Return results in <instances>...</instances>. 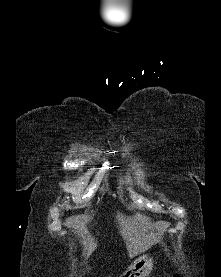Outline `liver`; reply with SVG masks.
Returning a JSON list of instances; mask_svg holds the SVG:
<instances>
[{
	"instance_id": "obj_1",
	"label": "liver",
	"mask_w": 221,
	"mask_h": 277,
	"mask_svg": "<svg viewBox=\"0 0 221 277\" xmlns=\"http://www.w3.org/2000/svg\"><path fill=\"white\" fill-rule=\"evenodd\" d=\"M117 220L119 232L126 243L130 258L145 252L162 239L163 234L151 229L150 218L146 216L136 215L130 218L118 214ZM82 243L84 245L83 256L87 259L96 250L97 243L87 231H85Z\"/></svg>"
}]
</instances>
